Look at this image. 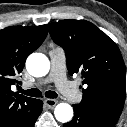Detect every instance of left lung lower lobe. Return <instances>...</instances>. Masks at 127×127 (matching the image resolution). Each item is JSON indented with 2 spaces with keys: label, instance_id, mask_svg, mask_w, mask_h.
I'll use <instances>...</instances> for the list:
<instances>
[{
  "label": "left lung lower lobe",
  "instance_id": "obj_1",
  "mask_svg": "<svg viewBox=\"0 0 127 127\" xmlns=\"http://www.w3.org/2000/svg\"><path fill=\"white\" fill-rule=\"evenodd\" d=\"M74 118L63 127H114L117 120L94 113L79 104L73 105Z\"/></svg>",
  "mask_w": 127,
  "mask_h": 127
}]
</instances>
